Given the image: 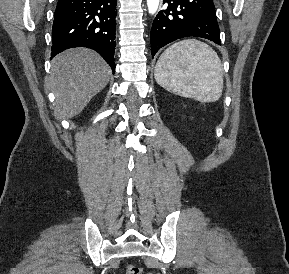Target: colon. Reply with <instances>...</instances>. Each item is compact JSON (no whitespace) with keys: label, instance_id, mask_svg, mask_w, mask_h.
Returning <instances> with one entry per match:
<instances>
[{"label":"colon","instance_id":"obj_1","mask_svg":"<svg viewBox=\"0 0 289 274\" xmlns=\"http://www.w3.org/2000/svg\"><path fill=\"white\" fill-rule=\"evenodd\" d=\"M126 274H143V270L141 267L129 265L126 269Z\"/></svg>","mask_w":289,"mask_h":274}]
</instances>
